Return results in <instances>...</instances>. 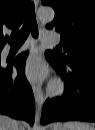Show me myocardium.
I'll use <instances>...</instances> for the list:
<instances>
[{
  "label": "myocardium",
  "mask_w": 95,
  "mask_h": 130,
  "mask_svg": "<svg viewBox=\"0 0 95 130\" xmlns=\"http://www.w3.org/2000/svg\"><path fill=\"white\" fill-rule=\"evenodd\" d=\"M64 90H65L64 83L59 79L53 80L48 87V93L51 96H60L63 94Z\"/></svg>",
  "instance_id": "obj_1"
}]
</instances>
